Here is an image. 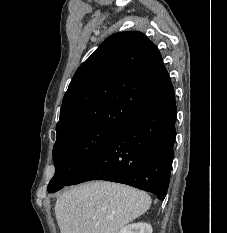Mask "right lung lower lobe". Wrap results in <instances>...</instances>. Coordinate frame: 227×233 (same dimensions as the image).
<instances>
[{
    "label": "right lung lower lobe",
    "instance_id": "obj_1",
    "mask_svg": "<svg viewBox=\"0 0 227 233\" xmlns=\"http://www.w3.org/2000/svg\"><path fill=\"white\" fill-rule=\"evenodd\" d=\"M175 94L120 127L67 185L89 180L127 184L166 196L176 137Z\"/></svg>",
    "mask_w": 227,
    "mask_h": 233
}]
</instances>
